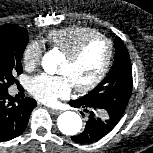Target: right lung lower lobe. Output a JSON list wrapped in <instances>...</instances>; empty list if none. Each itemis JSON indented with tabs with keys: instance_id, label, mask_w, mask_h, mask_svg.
<instances>
[{
	"instance_id": "obj_1",
	"label": "right lung lower lobe",
	"mask_w": 153,
	"mask_h": 153,
	"mask_svg": "<svg viewBox=\"0 0 153 153\" xmlns=\"http://www.w3.org/2000/svg\"><path fill=\"white\" fill-rule=\"evenodd\" d=\"M36 106V101L29 97L16 102L8 91L0 92V142L19 136Z\"/></svg>"
}]
</instances>
